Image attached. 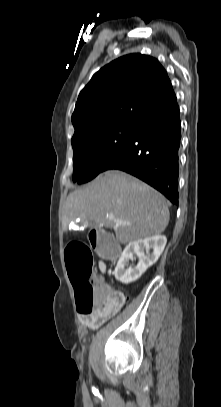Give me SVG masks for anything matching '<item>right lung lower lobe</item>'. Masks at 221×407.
<instances>
[{
	"label": "right lung lower lobe",
	"instance_id": "right-lung-lower-lobe-1",
	"mask_svg": "<svg viewBox=\"0 0 221 407\" xmlns=\"http://www.w3.org/2000/svg\"><path fill=\"white\" fill-rule=\"evenodd\" d=\"M181 139L179 106L174 94L142 118L103 171L120 169L145 181L178 205V150Z\"/></svg>",
	"mask_w": 221,
	"mask_h": 407
}]
</instances>
